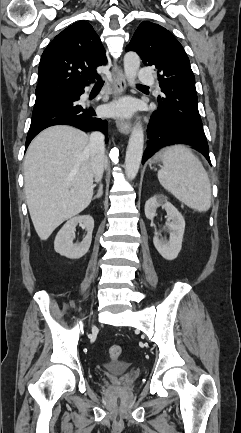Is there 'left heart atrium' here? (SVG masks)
Masks as SVG:
<instances>
[{"instance_id":"1","label":"left heart atrium","mask_w":241,"mask_h":433,"mask_svg":"<svg viewBox=\"0 0 241 433\" xmlns=\"http://www.w3.org/2000/svg\"><path fill=\"white\" fill-rule=\"evenodd\" d=\"M110 111L114 114H128L132 111V104L128 100H121L111 105Z\"/></svg>"}]
</instances>
